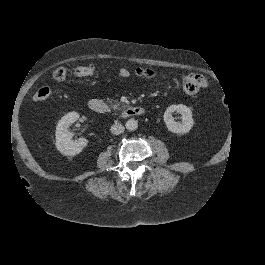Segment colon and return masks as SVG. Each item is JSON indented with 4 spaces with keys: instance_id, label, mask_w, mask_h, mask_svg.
Instances as JSON below:
<instances>
[{
    "instance_id": "colon-1",
    "label": "colon",
    "mask_w": 265,
    "mask_h": 265,
    "mask_svg": "<svg viewBox=\"0 0 265 265\" xmlns=\"http://www.w3.org/2000/svg\"><path fill=\"white\" fill-rule=\"evenodd\" d=\"M95 72L92 66H81L76 69V74L81 77H88L93 75ZM136 75L143 78H150L154 75L153 71L150 69L137 68L135 71ZM53 78L58 81H63L67 78V70L63 67L57 68L53 72ZM52 89L48 86L39 87L33 94L32 99L34 101H44L51 97Z\"/></svg>"
}]
</instances>
